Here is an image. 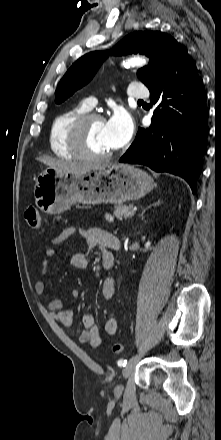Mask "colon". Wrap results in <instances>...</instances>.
<instances>
[{
    "label": "colon",
    "instance_id": "obj_1",
    "mask_svg": "<svg viewBox=\"0 0 221 440\" xmlns=\"http://www.w3.org/2000/svg\"><path fill=\"white\" fill-rule=\"evenodd\" d=\"M25 219L32 229H40L42 227V218L37 207L30 206L25 211ZM111 350L115 354H119L123 351V346L120 343H114L111 346Z\"/></svg>",
    "mask_w": 221,
    "mask_h": 440
}]
</instances>
